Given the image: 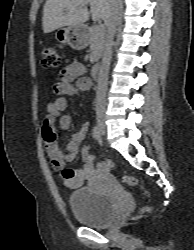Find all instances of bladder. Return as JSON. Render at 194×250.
<instances>
[{
    "mask_svg": "<svg viewBox=\"0 0 194 250\" xmlns=\"http://www.w3.org/2000/svg\"><path fill=\"white\" fill-rule=\"evenodd\" d=\"M69 207L74 217L86 226H106L116 214L113 197L92 187H82L69 194Z\"/></svg>",
    "mask_w": 194,
    "mask_h": 250,
    "instance_id": "bladder-1",
    "label": "bladder"
}]
</instances>
